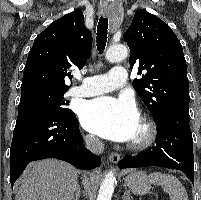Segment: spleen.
<instances>
[{
  "label": "spleen",
  "mask_w": 201,
  "mask_h": 200,
  "mask_svg": "<svg viewBox=\"0 0 201 200\" xmlns=\"http://www.w3.org/2000/svg\"><path fill=\"white\" fill-rule=\"evenodd\" d=\"M150 183L160 185L169 194L170 200H188L186 189L172 174L153 172L149 175Z\"/></svg>",
  "instance_id": "3e777b00"
}]
</instances>
